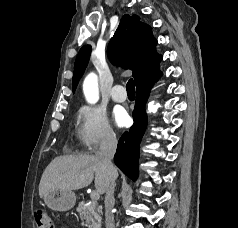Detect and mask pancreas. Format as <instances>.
<instances>
[{"label": "pancreas", "instance_id": "pancreas-1", "mask_svg": "<svg viewBox=\"0 0 238 228\" xmlns=\"http://www.w3.org/2000/svg\"><path fill=\"white\" fill-rule=\"evenodd\" d=\"M76 210L85 220L88 228H101L100 208L96 200L91 199L88 202L81 201Z\"/></svg>", "mask_w": 238, "mask_h": 228}]
</instances>
